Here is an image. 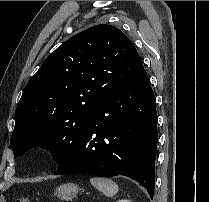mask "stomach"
Segmentation results:
<instances>
[{
    "instance_id": "1",
    "label": "stomach",
    "mask_w": 209,
    "mask_h": 202,
    "mask_svg": "<svg viewBox=\"0 0 209 202\" xmlns=\"http://www.w3.org/2000/svg\"><path fill=\"white\" fill-rule=\"evenodd\" d=\"M79 187L74 183H66L56 188L54 195L63 200H71L76 197Z\"/></svg>"
}]
</instances>
